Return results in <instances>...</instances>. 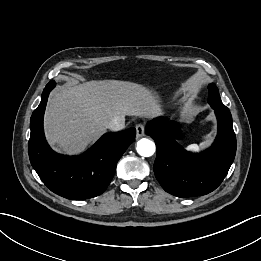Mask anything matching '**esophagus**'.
<instances>
[{
	"label": "esophagus",
	"instance_id": "34e87169",
	"mask_svg": "<svg viewBox=\"0 0 261 261\" xmlns=\"http://www.w3.org/2000/svg\"><path fill=\"white\" fill-rule=\"evenodd\" d=\"M135 128H136V136H137V138H140V137L144 136L145 126L143 124H137Z\"/></svg>",
	"mask_w": 261,
	"mask_h": 261
}]
</instances>
